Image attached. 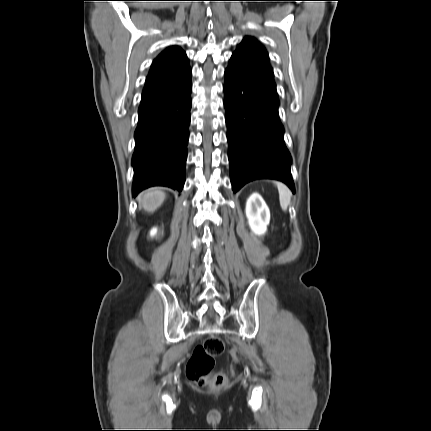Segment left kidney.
<instances>
[{"label":"left kidney","mask_w":431,"mask_h":431,"mask_svg":"<svg viewBox=\"0 0 431 431\" xmlns=\"http://www.w3.org/2000/svg\"><path fill=\"white\" fill-rule=\"evenodd\" d=\"M245 213L251 231L257 236L264 235L270 222V211L258 193L247 199Z\"/></svg>","instance_id":"left-kidney-1"}]
</instances>
